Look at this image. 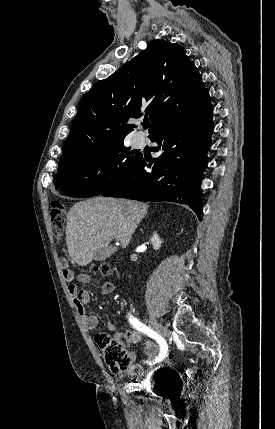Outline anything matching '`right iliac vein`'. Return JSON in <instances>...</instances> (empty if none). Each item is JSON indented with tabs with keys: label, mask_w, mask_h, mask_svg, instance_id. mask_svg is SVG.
I'll use <instances>...</instances> for the list:
<instances>
[{
	"label": "right iliac vein",
	"mask_w": 275,
	"mask_h": 429,
	"mask_svg": "<svg viewBox=\"0 0 275 429\" xmlns=\"http://www.w3.org/2000/svg\"><path fill=\"white\" fill-rule=\"evenodd\" d=\"M150 326L155 330V332L157 334H159L161 337L166 336L167 334V330L160 324L158 323L156 320H154L153 318H151L149 320Z\"/></svg>",
	"instance_id": "63e3f726"
}]
</instances>
